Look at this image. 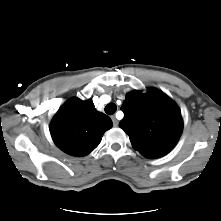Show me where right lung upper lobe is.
<instances>
[{
  "instance_id": "cb5924a9",
  "label": "right lung upper lobe",
  "mask_w": 221,
  "mask_h": 221,
  "mask_svg": "<svg viewBox=\"0 0 221 221\" xmlns=\"http://www.w3.org/2000/svg\"><path fill=\"white\" fill-rule=\"evenodd\" d=\"M112 127L107 115L95 110L92 100H68L52 119L50 132L58 148L69 155L85 156L95 149Z\"/></svg>"
}]
</instances>
